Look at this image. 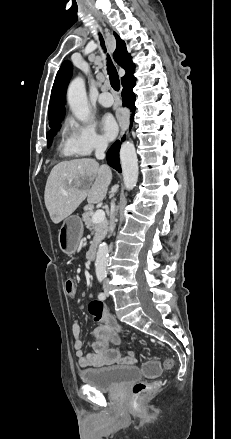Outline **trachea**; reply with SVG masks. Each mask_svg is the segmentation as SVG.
Returning <instances> with one entry per match:
<instances>
[{
	"mask_svg": "<svg viewBox=\"0 0 231 439\" xmlns=\"http://www.w3.org/2000/svg\"><path fill=\"white\" fill-rule=\"evenodd\" d=\"M100 41H101L102 47L104 48V51L106 52L104 40H103L101 35H100ZM107 59H108L107 70H108V74H109L110 84L115 91H119L120 90V80H119L117 70H116L115 66L113 65L109 56L107 57Z\"/></svg>",
	"mask_w": 231,
	"mask_h": 439,
	"instance_id": "3493384b",
	"label": "trachea"
}]
</instances>
